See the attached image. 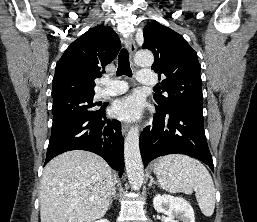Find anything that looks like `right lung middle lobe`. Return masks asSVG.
<instances>
[{"mask_svg": "<svg viewBox=\"0 0 257 222\" xmlns=\"http://www.w3.org/2000/svg\"><path fill=\"white\" fill-rule=\"evenodd\" d=\"M93 97L94 95H87L53 101V124L68 118H87L99 115L105 110L106 105H103L101 109H96V106H101V103H93Z\"/></svg>", "mask_w": 257, "mask_h": 222, "instance_id": "dd1d6c3e", "label": "right lung middle lobe"}]
</instances>
